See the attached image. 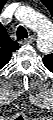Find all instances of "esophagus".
Listing matches in <instances>:
<instances>
[{
    "label": "esophagus",
    "mask_w": 53,
    "mask_h": 120,
    "mask_svg": "<svg viewBox=\"0 0 53 120\" xmlns=\"http://www.w3.org/2000/svg\"><path fill=\"white\" fill-rule=\"evenodd\" d=\"M35 41V36H30L29 38H27V39H24V40H22V44H29V43H32V42H34Z\"/></svg>",
    "instance_id": "1"
}]
</instances>
